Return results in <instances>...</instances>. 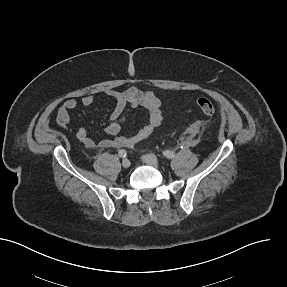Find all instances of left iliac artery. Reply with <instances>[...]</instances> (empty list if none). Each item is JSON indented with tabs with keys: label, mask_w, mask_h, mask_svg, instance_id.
Listing matches in <instances>:
<instances>
[{
	"label": "left iliac artery",
	"mask_w": 287,
	"mask_h": 287,
	"mask_svg": "<svg viewBox=\"0 0 287 287\" xmlns=\"http://www.w3.org/2000/svg\"><path fill=\"white\" fill-rule=\"evenodd\" d=\"M183 147H184V144H181V148H183ZM163 155L168 159H172V158H174L175 153L173 151H170V150H165V151H163Z\"/></svg>",
	"instance_id": "left-iliac-artery-1"
}]
</instances>
